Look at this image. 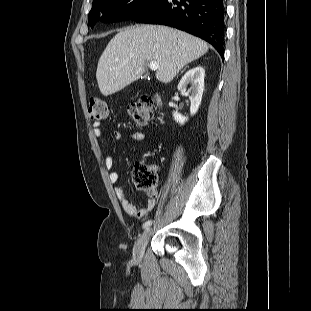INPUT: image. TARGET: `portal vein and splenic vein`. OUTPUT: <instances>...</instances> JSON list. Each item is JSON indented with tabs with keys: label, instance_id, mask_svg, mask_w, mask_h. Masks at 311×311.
Returning <instances> with one entry per match:
<instances>
[{
	"label": "portal vein and splenic vein",
	"instance_id": "18ae733b",
	"mask_svg": "<svg viewBox=\"0 0 311 311\" xmlns=\"http://www.w3.org/2000/svg\"><path fill=\"white\" fill-rule=\"evenodd\" d=\"M149 67L151 70H154V71L159 69V65L157 64V62H153V61L150 62Z\"/></svg>",
	"mask_w": 311,
	"mask_h": 311
}]
</instances>
